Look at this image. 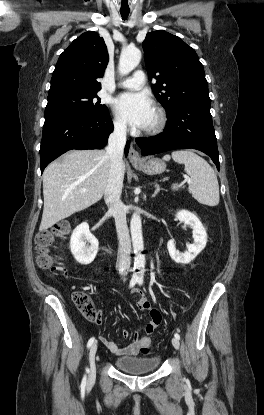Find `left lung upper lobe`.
Segmentation results:
<instances>
[{
    "mask_svg": "<svg viewBox=\"0 0 264 415\" xmlns=\"http://www.w3.org/2000/svg\"><path fill=\"white\" fill-rule=\"evenodd\" d=\"M144 58L158 101L167 114L186 102H210L208 84L198 55L179 37L164 30L146 35Z\"/></svg>",
    "mask_w": 264,
    "mask_h": 415,
    "instance_id": "5c2ea615",
    "label": "left lung upper lobe"
}]
</instances>
